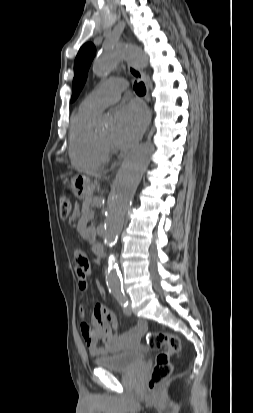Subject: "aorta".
I'll list each match as a JSON object with an SVG mask.
<instances>
[{
	"label": "aorta",
	"instance_id": "1",
	"mask_svg": "<svg viewBox=\"0 0 253 413\" xmlns=\"http://www.w3.org/2000/svg\"><path fill=\"white\" fill-rule=\"evenodd\" d=\"M120 59H128L139 65L145 63V56L138 46L120 43L102 52L93 66L94 74L100 77L106 76L116 67ZM99 125L109 127L105 118L100 119ZM152 151L153 146L150 143L138 146L125 158L117 173L115 195L108 206L102 229L104 243L111 251L122 230L125 212L134 198L143 172L150 163ZM106 282L112 291H119L121 288L119 267L112 253L108 258Z\"/></svg>",
	"mask_w": 253,
	"mask_h": 413
}]
</instances>
